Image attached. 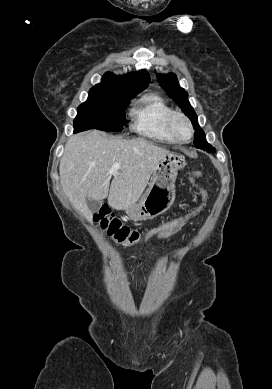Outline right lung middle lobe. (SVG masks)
<instances>
[{
	"instance_id": "1",
	"label": "right lung middle lobe",
	"mask_w": 272,
	"mask_h": 389,
	"mask_svg": "<svg viewBox=\"0 0 272 389\" xmlns=\"http://www.w3.org/2000/svg\"><path fill=\"white\" fill-rule=\"evenodd\" d=\"M133 94L90 89L88 99L77 109L74 132L89 129L119 131L125 124V109Z\"/></svg>"
}]
</instances>
